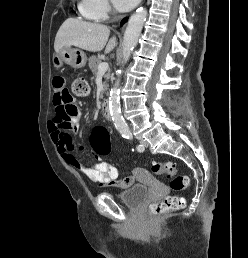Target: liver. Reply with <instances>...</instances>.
Returning a JSON list of instances; mask_svg holds the SVG:
<instances>
[{
    "label": "liver",
    "instance_id": "1",
    "mask_svg": "<svg viewBox=\"0 0 248 258\" xmlns=\"http://www.w3.org/2000/svg\"><path fill=\"white\" fill-rule=\"evenodd\" d=\"M109 27L69 18L59 28L54 42V49L59 53L66 46H75L89 52H99L105 48L110 53L116 46V38L108 41Z\"/></svg>",
    "mask_w": 248,
    "mask_h": 258
}]
</instances>
